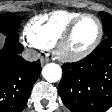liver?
Segmentation results:
<instances>
[{
  "mask_svg": "<svg viewBox=\"0 0 112 112\" xmlns=\"http://www.w3.org/2000/svg\"><path fill=\"white\" fill-rule=\"evenodd\" d=\"M2 41H3V36L0 35V45L2 44Z\"/></svg>",
  "mask_w": 112,
  "mask_h": 112,
  "instance_id": "liver-1",
  "label": "liver"
}]
</instances>
